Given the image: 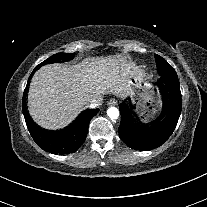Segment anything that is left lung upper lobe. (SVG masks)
Listing matches in <instances>:
<instances>
[{"label": "left lung upper lobe", "mask_w": 207, "mask_h": 207, "mask_svg": "<svg viewBox=\"0 0 207 207\" xmlns=\"http://www.w3.org/2000/svg\"><path fill=\"white\" fill-rule=\"evenodd\" d=\"M155 60L160 74H165L174 71V69L161 56L155 54Z\"/></svg>", "instance_id": "5c2ea615"}]
</instances>
